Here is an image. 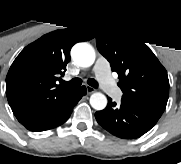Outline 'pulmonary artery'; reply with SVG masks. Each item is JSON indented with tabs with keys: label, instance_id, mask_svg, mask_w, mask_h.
I'll return each instance as SVG.
<instances>
[{
	"label": "pulmonary artery",
	"instance_id": "e3ab8cb5",
	"mask_svg": "<svg viewBox=\"0 0 181 164\" xmlns=\"http://www.w3.org/2000/svg\"><path fill=\"white\" fill-rule=\"evenodd\" d=\"M93 71L96 74L99 84L106 93H108L111 96L120 95V90L115 86L112 76L106 65H103L99 62L94 66Z\"/></svg>",
	"mask_w": 181,
	"mask_h": 164
}]
</instances>
